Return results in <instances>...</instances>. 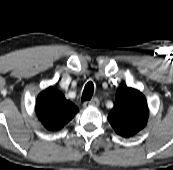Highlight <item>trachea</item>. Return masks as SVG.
I'll return each instance as SVG.
<instances>
[{"instance_id":"obj_1","label":"trachea","mask_w":173,"mask_h":170,"mask_svg":"<svg viewBox=\"0 0 173 170\" xmlns=\"http://www.w3.org/2000/svg\"><path fill=\"white\" fill-rule=\"evenodd\" d=\"M93 93H94V85L91 81H89L84 87V90L82 93V101L91 100Z\"/></svg>"}]
</instances>
